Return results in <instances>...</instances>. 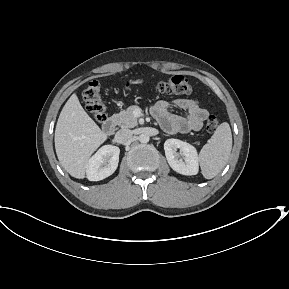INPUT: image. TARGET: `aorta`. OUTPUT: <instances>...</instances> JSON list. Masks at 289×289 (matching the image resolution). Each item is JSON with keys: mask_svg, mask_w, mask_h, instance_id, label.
Masks as SVG:
<instances>
[{"mask_svg": "<svg viewBox=\"0 0 289 289\" xmlns=\"http://www.w3.org/2000/svg\"><path fill=\"white\" fill-rule=\"evenodd\" d=\"M149 140H150V137H149L148 134H141V135L139 136V141H140L141 143H147V142H149Z\"/></svg>", "mask_w": 289, "mask_h": 289, "instance_id": "762f6f07", "label": "aorta"}]
</instances>
